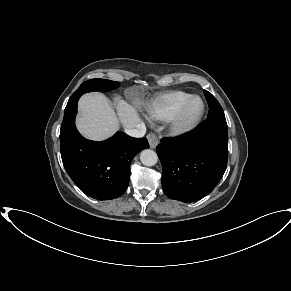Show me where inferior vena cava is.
<instances>
[{"label": "inferior vena cava", "instance_id": "obj_1", "mask_svg": "<svg viewBox=\"0 0 291 291\" xmlns=\"http://www.w3.org/2000/svg\"><path fill=\"white\" fill-rule=\"evenodd\" d=\"M125 132L131 137H136V138L143 137L146 132L145 124L143 122H140L139 124L136 125L135 128H132V129L126 128Z\"/></svg>", "mask_w": 291, "mask_h": 291}]
</instances>
